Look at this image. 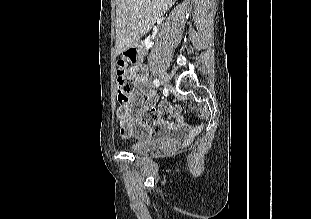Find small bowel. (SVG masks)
Segmentation results:
<instances>
[{
  "label": "small bowel",
  "mask_w": 311,
  "mask_h": 219,
  "mask_svg": "<svg viewBox=\"0 0 311 219\" xmlns=\"http://www.w3.org/2000/svg\"><path fill=\"white\" fill-rule=\"evenodd\" d=\"M133 79L137 82V88L131 96L130 103L120 105L117 109L119 131L123 137L145 139L165 133L171 137L169 142H173L177 140L187 141L196 133L198 128L187 124L179 116H175V119L178 127L183 131L182 134H177L174 130L163 131V122L160 121L158 115L163 113L175 114L178 107L166 100L159 102L157 93L147 82V68L145 66L137 65L134 67ZM158 102L159 108L157 109Z\"/></svg>",
  "instance_id": "1"
}]
</instances>
